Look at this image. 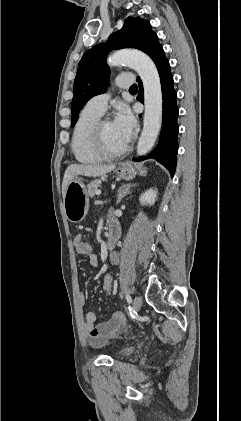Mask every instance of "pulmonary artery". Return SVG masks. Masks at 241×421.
<instances>
[{
  "label": "pulmonary artery",
  "mask_w": 241,
  "mask_h": 421,
  "mask_svg": "<svg viewBox=\"0 0 241 421\" xmlns=\"http://www.w3.org/2000/svg\"><path fill=\"white\" fill-rule=\"evenodd\" d=\"M118 87L122 88V89H126L129 88L132 84H133V78L131 76L128 75H122L119 76L117 78L116 81ZM110 99V94L109 93H103V94H99L96 95L94 97H92L88 103L87 106L100 113L101 115L105 112L106 108H107V104L108 101Z\"/></svg>",
  "instance_id": "obj_1"
}]
</instances>
